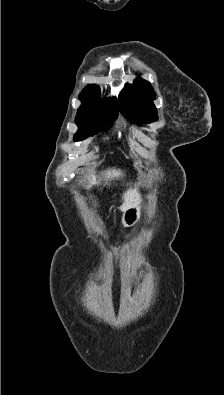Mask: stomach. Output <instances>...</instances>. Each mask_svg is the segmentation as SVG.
Wrapping results in <instances>:
<instances>
[{
    "label": "stomach",
    "instance_id": "1",
    "mask_svg": "<svg viewBox=\"0 0 224 395\" xmlns=\"http://www.w3.org/2000/svg\"><path fill=\"white\" fill-rule=\"evenodd\" d=\"M141 206L140 204H135L123 212L122 215V225L124 227H132L136 225L140 220Z\"/></svg>",
    "mask_w": 224,
    "mask_h": 395
}]
</instances>
